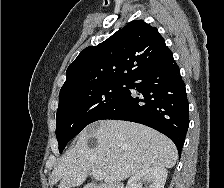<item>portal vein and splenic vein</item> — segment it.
<instances>
[{
    "instance_id": "obj_1",
    "label": "portal vein and splenic vein",
    "mask_w": 224,
    "mask_h": 188,
    "mask_svg": "<svg viewBox=\"0 0 224 188\" xmlns=\"http://www.w3.org/2000/svg\"><path fill=\"white\" fill-rule=\"evenodd\" d=\"M91 171H92L91 173H92L93 177L96 180L101 181L104 179V173L102 170L92 169Z\"/></svg>"
}]
</instances>
